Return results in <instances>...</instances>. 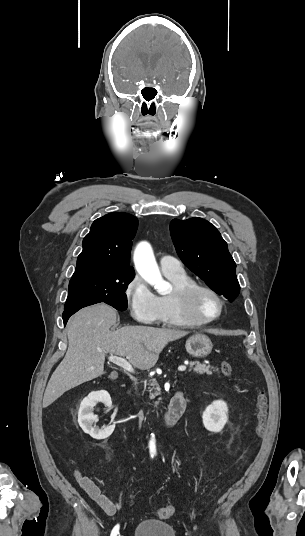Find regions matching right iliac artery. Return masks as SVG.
I'll use <instances>...</instances> for the list:
<instances>
[{
	"instance_id": "right-iliac-artery-1",
	"label": "right iliac artery",
	"mask_w": 305,
	"mask_h": 536,
	"mask_svg": "<svg viewBox=\"0 0 305 536\" xmlns=\"http://www.w3.org/2000/svg\"><path fill=\"white\" fill-rule=\"evenodd\" d=\"M152 457H153V455H152ZM118 533H119V525H116V526L113 528V530H112L110 536H117Z\"/></svg>"
}]
</instances>
